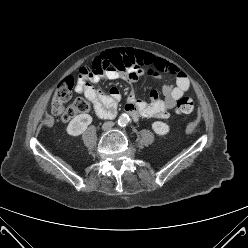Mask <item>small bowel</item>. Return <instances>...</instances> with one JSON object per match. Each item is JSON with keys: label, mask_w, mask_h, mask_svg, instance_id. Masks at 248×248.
Segmentation results:
<instances>
[{"label": "small bowel", "mask_w": 248, "mask_h": 248, "mask_svg": "<svg viewBox=\"0 0 248 248\" xmlns=\"http://www.w3.org/2000/svg\"><path fill=\"white\" fill-rule=\"evenodd\" d=\"M110 52L120 54L129 64V67L121 72L106 71L95 74L88 72V66L84 67L75 86V92L84 95L92 103L94 112L99 118L110 119L116 114L117 104L120 99L119 89L112 87L109 93L106 94L100 89L95 88L92 83H96L101 79H123L135 82L145 75L157 80H163V75L166 74L175 77L176 83L173 85L169 82H164L162 87L164 97L162 99L158 98L156 90L150 92V102L137 100L133 95H129L125 104V110L134 120L141 118H168L169 112L189 89V80L186 75L175 65L148 52L132 49ZM110 52L102 55V57L107 56Z\"/></svg>", "instance_id": "1"}]
</instances>
